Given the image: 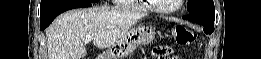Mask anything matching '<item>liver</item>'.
Here are the masks:
<instances>
[{"instance_id": "1", "label": "liver", "mask_w": 261, "mask_h": 59, "mask_svg": "<svg viewBox=\"0 0 261 59\" xmlns=\"http://www.w3.org/2000/svg\"><path fill=\"white\" fill-rule=\"evenodd\" d=\"M143 16L105 6L65 12L46 30L49 59H83L86 36L92 37L96 47L108 48Z\"/></svg>"}]
</instances>
